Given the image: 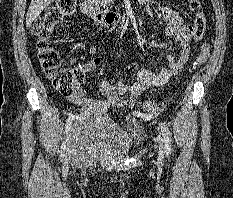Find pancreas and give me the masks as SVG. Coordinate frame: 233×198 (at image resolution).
I'll list each match as a JSON object with an SVG mask.
<instances>
[{
	"mask_svg": "<svg viewBox=\"0 0 233 198\" xmlns=\"http://www.w3.org/2000/svg\"><path fill=\"white\" fill-rule=\"evenodd\" d=\"M91 2L98 6L109 7L113 4V0H91Z\"/></svg>",
	"mask_w": 233,
	"mask_h": 198,
	"instance_id": "pancreas-1",
	"label": "pancreas"
}]
</instances>
